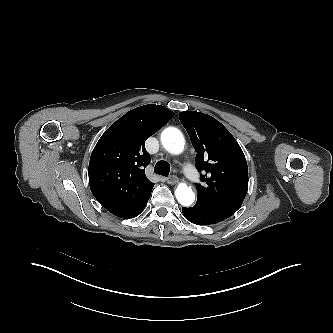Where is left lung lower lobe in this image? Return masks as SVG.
Returning <instances> with one entry per match:
<instances>
[{"label": "left lung lower lobe", "mask_w": 333, "mask_h": 333, "mask_svg": "<svg viewBox=\"0 0 333 333\" xmlns=\"http://www.w3.org/2000/svg\"><path fill=\"white\" fill-rule=\"evenodd\" d=\"M182 212L188 221L198 225L215 224L231 216L227 212L200 200H197L193 207H183Z\"/></svg>", "instance_id": "1"}]
</instances>
